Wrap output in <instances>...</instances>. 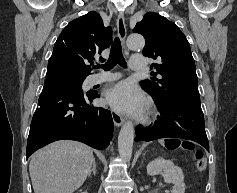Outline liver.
Instances as JSON below:
<instances>
[{
  "label": "liver",
  "mask_w": 237,
  "mask_h": 193,
  "mask_svg": "<svg viewBox=\"0 0 237 193\" xmlns=\"http://www.w3.org/2000/svg\"><path fill=\"white\" fill-rule=\"evenodd\" d=\"M94 161L90 147L60 140L36 151L29 164L34 193H73L86 180Z\"/></svg>",
  "instance_id": "6515ba94"
}]
</instances>
